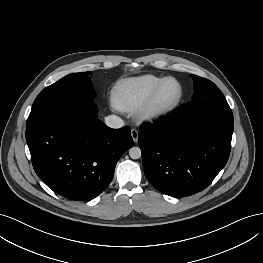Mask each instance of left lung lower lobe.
<instances>
[{"instance_id":"1","label":"left lung lower lobe","mask_w":263,"mask_h":263,"mask_svg":"<svg viewBox=\"0 0 263 263\" xmlns=\"http://www.w3.org/2000/svg\"><path fill=\"white\" fill-rule=\"evenodd\" d=\"M234 121L231 110L189 115L182 107L140 127L144 173L173 197L205 189L228 161Z\"/></svg>"}]
</instances>
